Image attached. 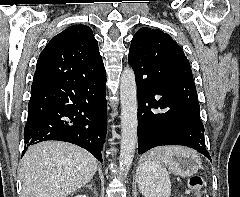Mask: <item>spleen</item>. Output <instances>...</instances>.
<instances>
[{
    "label": "spleen",
    "mask_w": 240,
    "mask_h": 197,
    "mask_svg": "<svg viewBox=\"0 0 240 197\" xmlns=\"http://www.w3.org/2000/svg\"><path fill=\"white\" fill-rule=\"evenodd\" d=\"M193 153V150L165 146L156 147L150 151L151 159L144 162L140 168V179L143 181L141 191L145 197H169L171 182L166 166L178 154Z\"/></svg>",
    "instance_id": "3e777b00"
}]
</instances>
